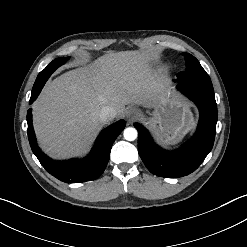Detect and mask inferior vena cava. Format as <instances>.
<instances>
[{"label": "inferior vena cava", "instance_id": "inferior-vena-cava-1", "mask_svg": "<svg viewBox=\"0 0 247 247\" xmlns=\"http://www.w3.org/2000/svg\"><path fill=\"white\" fill-rule=\"evenodd\" d=\"M115 116H116V110L112 107L106 106L101 109L99 113V120L102 123H106L113 120Z\"/></svg>", "mask_w": 247, "mask_h": 247}]
</instances>
